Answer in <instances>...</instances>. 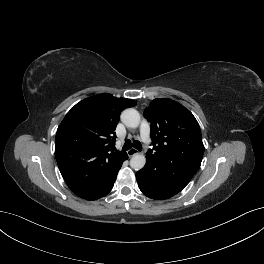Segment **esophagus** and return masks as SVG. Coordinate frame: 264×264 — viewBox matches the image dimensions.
Masks as SVG:
<instances>
[{
  "label": "esophagus",
  "instance_id": "1",
  "mask_svg": "<svg viewBox=\"0 0 264 264\" xmlns=\"http://www.w3.org/2000/svg\"><path fill=\"white\" fill-rule=\"evenodd\" d=\"M138 153H139L138 150L135 149V148H131V149H129V150L127 151V154H128L129 157H132V156H134V155H136V154H138Z\"/></svg>",
  "mask_w": 264,
  "mask_h": 264
}]
</instances>
